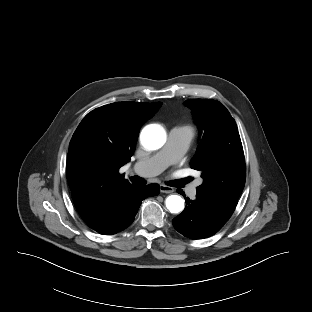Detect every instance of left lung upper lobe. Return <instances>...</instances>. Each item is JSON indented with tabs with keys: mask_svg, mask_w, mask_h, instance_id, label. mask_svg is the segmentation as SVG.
<instances>
[{
	"mask_svg": "<svg viewBox=\"0 0 312 312\" xmlns=\"http://www.w3.org/2000/svg\"><path fill=\"white\" fill-rule=\"evenodd\" d=\"M189 106L203 136L191 161L201 171L197 194L234 211L246 179L243 147L235 120L217 100L190 99Z\"/></svg>",
	"mask_w": 312,
	"mask_h": 312,
	"instance_id": "5c2ea615",
	"label": "left lung upper lobe"
}]
</instances>
